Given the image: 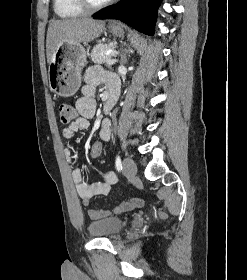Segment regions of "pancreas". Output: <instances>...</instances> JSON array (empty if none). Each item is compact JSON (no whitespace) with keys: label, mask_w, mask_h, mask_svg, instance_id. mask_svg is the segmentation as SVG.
Segmentation results:
<instances>
[{"label":"pancreas","mask_w":247,"mask_h":280,"mask_svg":"<svg viewBox=\"0 0 247 280\" xmlns=\"http://www.w3.org/2000/svg\"><path fill=\"white\" fill-rule=\"evenodd\" d=\"M113 44H98L91 51V59L94 63L97 64H105L109 59H111L112 55H106L105 52L109 50Z\"/></svg>","instance_id":"1"}]
</instances>
